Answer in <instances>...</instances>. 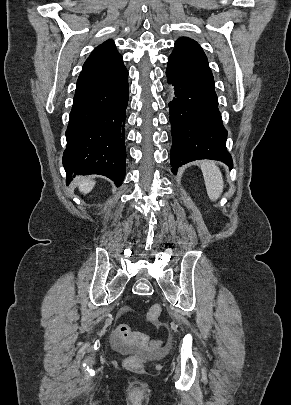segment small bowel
<instances>
[{
  "mask_svg": "<svg viewBox=\"0 0 291 405\" xmlns=\"http://www.w3.org/2000/svg\"><path fill=\"white\" fill-rule=\"evenodd\" d=\"M127 313H129V309H128V308H123V309L121 310V315H125V314H127Z\"/></svg>",
  "mask_w": 291,
  "mask_h": 405,
  "instance_id": "small-bowel-1",
  "label": "small bowel"
}]
</instances>
